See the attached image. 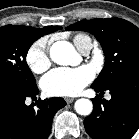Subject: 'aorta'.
Wrapping results in <instances>:
<instances>
[{
    "label": "aorta",
    "instance_id": "1",
    "mask_svg": "<svg viewBox=\"0 0 139 139\" xmlns=\"http://www.w3.org/2000/svg\"><path fill=\"white\" fill-rule=\"evenodd\" d=\"M50 58L59 65H71L77 58V52L73 45L67 41H57L50 48ZM75 111L87 116L93 110V104L89 99L81 98L75 102Z\"/></svg>",
    "mask_w": 139,
    "mask_h": 139
}]
</instances>
